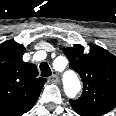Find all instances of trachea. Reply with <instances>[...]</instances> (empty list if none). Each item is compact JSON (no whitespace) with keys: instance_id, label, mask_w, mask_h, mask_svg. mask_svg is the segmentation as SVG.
Segmentation results:
<instances>
[{"instance_id":"obj_1","label":"trachea","mask_w":116,"mask_h":116,"mask_svg":"<svg viewBox=\"0 0 116 116\" xmlns=\"http://www.w3.org/2000/svg\"><path fill=\"white\" fill-rule=\"evenodd\" d=\"M41 76L42 77H49L52 75L51 69L46 62H42L40 64Z\"/></svg>"}]
</instances>
